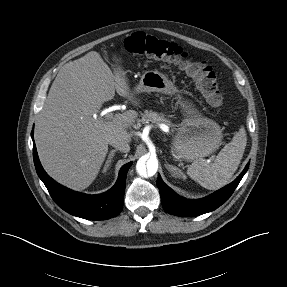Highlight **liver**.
Wrapping results in <instances>:
<instances>
[{
	"label": "liver",
	"mask_w": 287,
	"mask_h": 287,
	"mask_svg": "<svg viewBox=\"0 0 287 287\" xmlns=\"http://www.w3.org/2000/svg\"><path fill=\"white\" fill-rule=\"evenodd\" d=\"M125 74L120 68L112 72L96 51L66 63L58 72L38 115L35 142L44 169L60 184L84 190L97 177L110 138L131 141L128 129L136 111L116 114L110 121L97 116L115 91L138 104Z\"/></svg>",
	"instance_id": "6515ba94"
}]
</instances>
